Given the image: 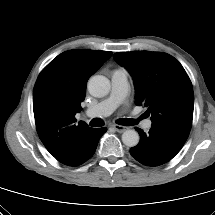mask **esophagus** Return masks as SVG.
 <instances>
[{
  "label": "esophagus",
  "mask_w": 215,
  "mask_h": 215,
  "mask_svg": "<svg viewBox=\"0 0 215 215\" xmlns=\"http://www.w3.org/2000/svg\"><path fill=\"white\" fill-rule=\"evenodd\" d=\"M113 128H114L117 132H120V133H122V132H124V131H126V130L128 129V127L121 126V125H117V124L113 125Z\"/></svg>",
  "instance_id": "34e87169"
}]
</instances>
